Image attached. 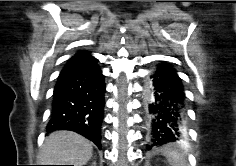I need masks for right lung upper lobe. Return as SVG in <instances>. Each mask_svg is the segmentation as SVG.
I'll return each mask as SVG.
<instances>
[{"label":"right lung upper lobe","instance_id":"right-lung-upper-lobe-1","mask_svg":"<svg viewBox=\"0 0 236 166\" xmlns=\"http://www.w3.org/2000/svg\"><path fill=\"white\" fill-rule=\"evenodd\" d=\"M88 51H78L72 58H70L66 65L85 63L94 60Z\"/></svg>","mask_w":236,"mask_h":166}]
</instances>
